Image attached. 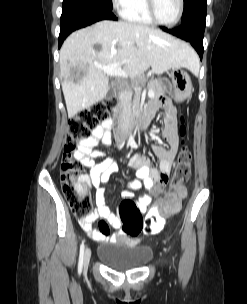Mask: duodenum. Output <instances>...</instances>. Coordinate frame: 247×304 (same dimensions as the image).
Returning <instances> with one entry per match:
<instances>
[{
	"mask_svg": "<svg viewBox=\"0 0 247 304\" xmlns=\"http://www.w3.org/2000/svg\"><path fill=\"white\" fill-rule=\"evenodd\" d=\"M122 114V106H118L115 110V115H114V120H113V133L115 136V143L118 144H124L125 137L127 135V132L125 131L124 128H119L121 126L120 123V117ZM154 115V112L150 109H146L143 113L139 114L138 116L132 115L130 118L132 119V121L128 124V126L126 127L128 130L129 129H133V127L135 129H146V126H143L142 123H148L151 121L152 117ZM139 125V126H137ZM148 128V127H147Z\"/></svg>",
	"mask_w": 247,
	"mask_h": 304,
	"instance_id": "410a0bca",
	"label": "duodenum"
}]
</instances>
